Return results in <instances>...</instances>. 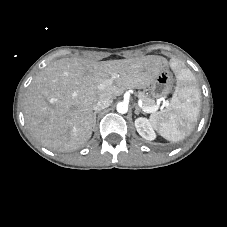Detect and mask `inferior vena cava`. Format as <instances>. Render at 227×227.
<instances>
[{
    "label": "inferior vena cava",
    "mask_w": 227,
    "mask_h": 227,
    "mask_svg": "<svg viewBox=\"0 0 227 227\" xmlns=\"http://www.w3.org/2000/svg\"><path fill=\"white\" fill-rule=\"evenodd\" d=\"M113 102V97L111 95H104L99 98V100L93 106V110L101 111L109 107Z\"/></svg>",
    "instance_id": "602c4592"
}]
</instances>
